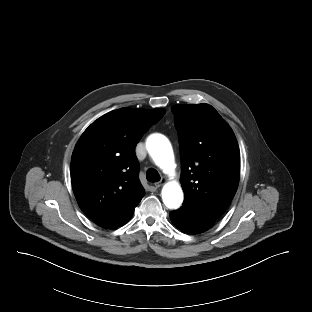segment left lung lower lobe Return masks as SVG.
<instances>
[{"instance_id": "obj_1", "label": "left lung lower lobe", "mask_w": 312, "mask_h": 312, "mask_svg": "<svg viewBox=\"0 0 312 312\" xmlns=\"http://www.w3.org/2000/svg\"><path fill=\"white\" fill-rule=\"evenodd\" d=\"M170 218L178 229L187 233L198 234L208 230L214 224L213 220L197 216L182 208L171 212Z\"/></svg>"}]
</instances>
